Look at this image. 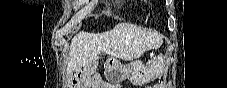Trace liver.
<instances>
[{
	"label": "liver",
	"mask_w": 227,
	"mask_h": 88,
	"mask_svg": "<svg viewBox=\"0 0 227 88\" xmlns=\"http://www.w3.org/2000/svg\"><path fill=\"white\" fill-rule=\"evenodd\" d=\"M162 43L154 32L130 23H120L103 33L80 32L71 40L67 57V73L80 71L104 52L125 61L138 59Z\"/></svg>",
	"instance_id": "6515ba94"
}]
</instances>
